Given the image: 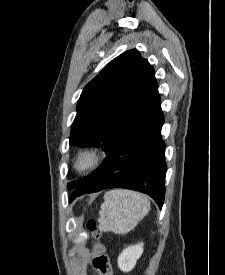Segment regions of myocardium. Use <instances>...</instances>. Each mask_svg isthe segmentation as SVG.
Returning <instances> with one entry per match:
<instances>
[{"instance_id": "f54148a6", "label": "myocardium", "mask_w": 225, "mask_h": 275, "mask_svg": "<svg viewBox=\"0 0 225 275\" xmlns=\"http://www.w3.org/2000/svg\"><path fill=\"white\" fill-rule=\"evenodd\" d=\"M103 161L100 151L92 148L81 150L73 161L74 169L79 173H85L98 168Z\"/></svg>"}]
</instances>
